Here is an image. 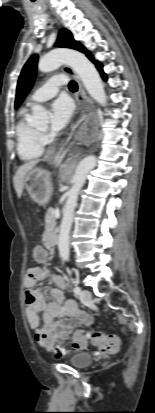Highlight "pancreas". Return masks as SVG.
I'll return each mask as SVG.
<instances>
[{"mask_svg": "<svg viewBox=\"0 0 155 413\" xmlns=\"http://www.w3.org/2000/svg\"><path fill=\"white\" fill-rule=\"evenodd\" d=\"M46 217L48 224L54 228L56 226V216L53 209L48 210Z\"/></svg>", "mask_w": 155, "mask_h": 413, "instance_id": "cf45deb5", "label": "pancreas"}]
</instances>
